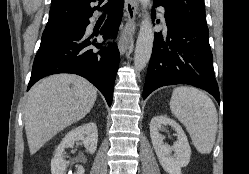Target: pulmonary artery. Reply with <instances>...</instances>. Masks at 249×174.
<instances>
[{
    "mask_svg": "<svg viewBox=\"0 0 249 174\" xmlns=\"http://www.w3.org/2000/svg\"><path fill=\"white\" fill-rule=\"evenodd\" d=\"M156 12H157L158 15L160 16V18H161L163 24L165 25L166 23H165L164 11L161 10V9H157Z\"/></svg>",
    "mask_w": 249,
    "mask_h": 174,
    "instance_id": "e3ab8cb5",
    "label": "pulmonary artery"
}]
</instances>
